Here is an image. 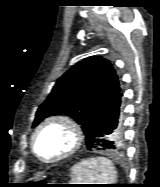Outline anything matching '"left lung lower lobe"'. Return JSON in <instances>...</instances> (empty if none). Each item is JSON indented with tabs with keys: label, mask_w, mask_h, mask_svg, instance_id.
I'll use <instances>...</instances> for the list:
<instances>
[{
	"label": "left lung lower lobe",
	"mask_w": 160,
	"mask_h": 187,
	"mask_svg": "<svg viewBox=\"0 0 160 187\" xmlns=\"http://www.w3.org/2000/svg\"><path fill=\"white\" fill-rule=\"evenodd\" d=\"M121 98L122 93L119 92L106 104L92 130L86 134V145L89 150L97 149L115 152L123 147V141L120 143V139L111 138V135L120 127ZM121 144L122 146H120Z\"/></svg>",
	"instance_id": "left-lung-lower-lobe-1"
}]
</instances>
